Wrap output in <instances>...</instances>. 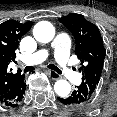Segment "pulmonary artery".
Returning <instances> with one entry per match:
<instances>
[{
    "mask_svg": "<svg viewBox=\"0 0 117 117\" xmlns=\"http://www.w3.org/2000/svg\"><path fill=\"white\" fill-rule=\"evenodd\" d=\"M69 49H70L69 37L65 34L59 33L55 37L50 48L39 50L38 52L32 55L31 59L34 62H41L45 60L48 57L50 51H52L63 75L67 79L75 83H78L81 80V75L76 73L70 65Z\"/></svg>",
    "mask_w": 117,
    "mask_h": 117,
    "instance_id": "pulmonary-artery-1",
    "label": "pulmonary artery"
}]
</instances>
